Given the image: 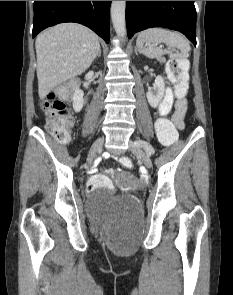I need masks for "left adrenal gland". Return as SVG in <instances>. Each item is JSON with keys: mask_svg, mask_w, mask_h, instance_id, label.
Segmentation results:
<instances>
[{"mask_svg": "<svg viewBox=\"0 0 233 295\" xmlns=\"http://www.w3.org/2000/svg\"><path fill=\"white\" fill-rule=\"evenodd\" d=\"M138 52H139V51H138L137 46H136V47H135V54L138 55ZM139 53H140V52H139Z\"/></svg>", "mask_w": 233, "mask_h": 295, "instance_id": "obj_1", "label": "left adrenal gland"}]
</instances>
